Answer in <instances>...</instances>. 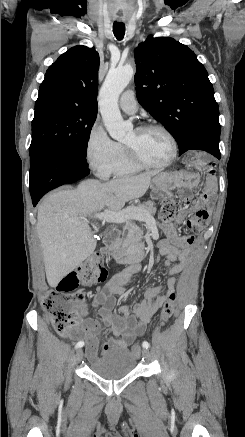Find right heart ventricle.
Here are the masks:
<instances>
[{
  "mask_svg": "<svg viewBox=\"0 0 245 437\" xmlns=\"http://www.w3.org/2000/svg\"><path fill=\"white\" fill-rule=\"evenodd\" d=\"M119 145V154L112 167L111 174L116 177L131 175L140 172L143 168L131 162L122 145Z\"/></svg>",
  "mask_w": 245,
  "mask_h": 437,
  "instance_id": "obj_1",
  "label": "right heart ventricle"
}]
</instances>
